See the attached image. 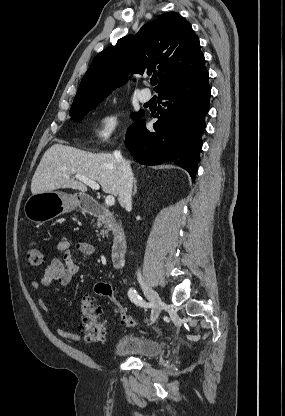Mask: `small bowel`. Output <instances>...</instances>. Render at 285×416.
I'll use <instances>...</instances> for the list:
<instances>
[{"label": "small bowel", "mask_w": 285, "mask_h": 416, "mask_svg": "<svg viewBox=\"0 0 285 416\" xmlns=\"http://www.w3.org/2000/svg\"><path fill=\"white\" fill-rule=\"evenodd\" d=\"M72 246V242L67 238H62L58 242L57 249L63 253V259L54 258L50 261L41 279L32 282V287L34 289L50 287L54 284L65 287L71 283L73 277L79 271V265L72 258ZM77 249L84 254H92L94 251L93 246L87 243L78 244ZM38 305L46 313H52L48 303L43 298L38 299ZM57 333L60 337L67 340H81L79 334L68 331L61 326L57 328Z\"/></svg>", "instance_id": "obj_1"}]
</instances>
